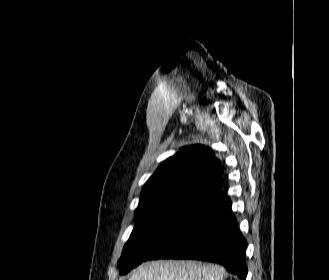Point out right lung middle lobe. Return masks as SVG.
Here are the masks:
<instances>
[{"label":"right lung middle lobe","instance_id":"1","mask_svg":"<svg viewBox=\"0 0 329 280\" xmlns=\"http://www.w3.org/2000/svg\"><path fill=\"white\" fill-rule=\"evenodd\" d=\"M206 203L202 199L173 197L151 203L137 213L136 224L119 260L120 273L149 260Z\"/></svg>","mask_w":329,"mask_h":280}]
</instances>
